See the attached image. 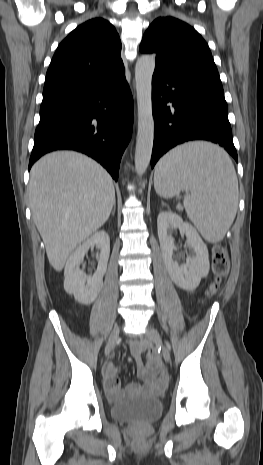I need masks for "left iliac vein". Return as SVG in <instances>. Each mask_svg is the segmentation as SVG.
Returning a JSON list of instances; mask_svg holds the SVG:
<instances>
[{
  "mask_svg": "<svg viewBox=\"0 0 263 465\" xmlns=\"http://www.w3.org/2000/svg\"><path fill=\"white\" fill-rule=\"evenodd\" d=\"M146 337L149 341L154 342L161 347L164 360L169 362L171 359L170 352L163 344L159 332L155 328L149 326L146 331Z\"/></svg>",
  "mask_w": 263,
  "mask_h": 465,
  "instance_id": "4c4485c4",
  "label": "left iliac vein"
}]
</instances>
